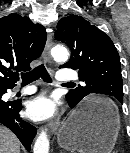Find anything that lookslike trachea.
<instances>
[{"instance_id":"1","label":"trachea","mask_w":130,"mask_h":153,"mask_svg":"<svg viewBox=\"0 0 130 153\" xmlns=\"http://www.w3.org/2000/svg\"><path fill=\"white\" fill-rule=\"evenodd\" d=\"M21 78H22V83L23 84L32 83V82L38 80L39 78H42L43 81H45L47 83L52 82V79H51L49 73L47 72L44 64H41V65L37 66L32 71L21 74ZM63 85H72V84L71 83H66V84H63Z\"/></svg>"}]
</instances>
